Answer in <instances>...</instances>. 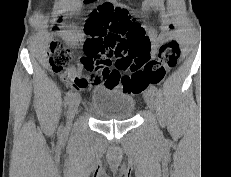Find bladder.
<instances>
[{"label":"bladder","mask_w":231,"mask_h":177,"mask_svg":"<svg viewBox=\"0 0 231 177\" xmlns=\"http://www.w3.org/2000/svg\"><path fill=\"white\" fill-rule=\"evenodd\" d=\"M91 107L102 120L124 121L133 117L135 100L118 89L99 86L92 93Z\"/></svg>","instance_id":"bladder-1"}]
</instances>
